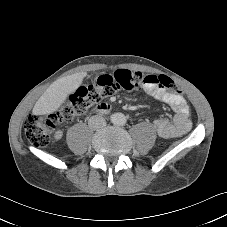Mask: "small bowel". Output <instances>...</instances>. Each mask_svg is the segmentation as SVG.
Returning a JSON list of instances; mask_svg holds the SVG:
<instances>
[{
	"label": "small bowel",
	"mask_w": 227,
	"mask_h": 227,
	"mask_svg": "<svg viewBox=\"0 0 227 227\" xmlns=\"http://www.w3.org/2000/svg\"><path fill=\"white\" fill-rule=\"evenodd\" d=\"M143 89L146 94L167 104L174 111L172 120L158 118L154 121V127L160 137L166 139L178 137L190 130V109L182 95L168 92L164 87L157 84H147ZM55 136L57 139H60L62 137V132L58 131Z\"/></svg>",
	"instance_id": "1"
}]
</instances>
